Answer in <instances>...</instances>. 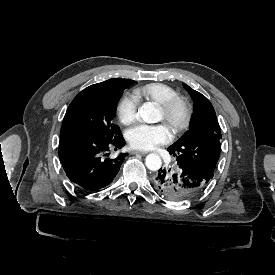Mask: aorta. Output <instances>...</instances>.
Wrapping results in <instances>:
<instances>
[{
	"instance_id": "762f6f07",
	"label": "aorta",
	"mask_w": 275,
	"mask_h": 275,
	"mask_svg": "<svg viewBox=\"0 0 275 275\" xmlns=\"http://www.w3.org/2000/svg\"><path fill=\"white\" fill-rule=\"evenodd\" d=\"M138 115L146 123H157L162 119V110L147 102L141 106ZM145 164L149 170L157 171L161 168L162 161L158 154L151 153L146 156Z\"/></svg>"
}]
</instances>
